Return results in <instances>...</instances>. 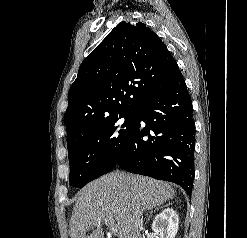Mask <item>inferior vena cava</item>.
Here are the masks:
<instances>
[{
  "instance_id": "inferior-vena-cava-1",
  "label": "inferior vena cava",
  "mask_w": 247,
  "mask_h": 238,
  "mask_svg": "<svg viewBox=\"0 0 247 238\" xmlns=\"http://www.w3.org/2000/svg\"><path fill=\"white\" fill-rule=\"evenodd\" d=\"M136 224L138 228L142 229L143 218H142V213L139 210L136 211Z\"/></svg>"
}]
</instances>
